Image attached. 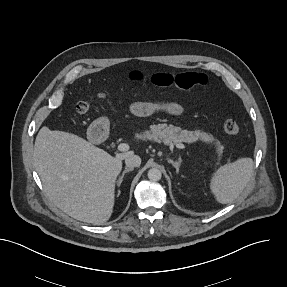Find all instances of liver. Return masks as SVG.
I'll list each match as a JSON object with an SVG mask.
<instances>
[{"label":"liver","instance_id":"1","mask_svg":"<svg viewBox=\"0 0 287 287\" xmlns=\"http://www.w3.org/2000/svg\"><path fill=\"white\" fill-rule=\"evenodd\" d=\"M85 139L44 126L34 145V164L49 200L74 219L101 225L115 202V183L122 161Z\"/></svg>","mask_w":287,"mask_h":287}]
</instances>
